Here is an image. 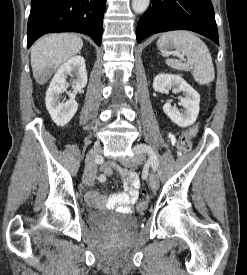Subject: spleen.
<instances>
[{
  "label": "spleen",
  "instance_id": "obj_1",
  "mask_svg": "<svg viewBox=\"0 0 247 275\" xmlns=\"http://www.w3.org/2000/svg\"><path fill=\"white\" fill-rule=\"evenodd\" d=\"M169 42L187 57L186 63L176 59H166V64L175 69L188 71L193 68L195 81L200 85L209 84L214 80L215 72L210 52L206 44L190 31H170L164 33L158 40L159 49H163ZM168 56L169 52L162 51Z\"/></svg>",
  "mask_w": 247,
  "mask_h": 275
}]
</instances>
